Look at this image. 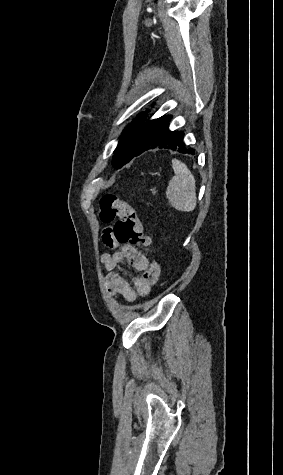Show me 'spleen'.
<instances>
[{"label": "spleen", "mask_w": 283, "mask_h": 475, "mask_svg": "<svg viewBox=\"0 0 283 475\" xmlns=\"http://www.w3.org/2000/svg\"><path fill=\"white\" fill-rule=\"evenodd\" d=\"M172 168L175 176L167 186L166 198L175 210L193 212L197 204L195 178L179 160H172Z\"/></svg>", "instance_id": "1"}]
</instances>
